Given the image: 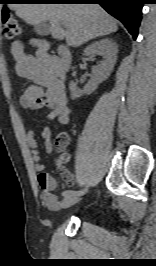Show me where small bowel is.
<instances>
[{"mask_svg":"<svg viewBox=\"0 0 156 266\" xmlns=\"http://www.w3.org/2000/svg\"><path fill=\"white\" fill-rule=\"evenodd\" d=\"M11 54L15 62L16 73L32 82V85L20 97L21 106L30 110L47 108L49 119L57 120L63 125L67 124L70 111L67 106L64 82L57 76L54 67L55 58L43 47L34 55L29 54L20 41L12 43ZM41 135L45 141L46 152L51 153L53 145L50 140V129L42 127ZM26 140L38 172L37 182L42 191V200L49 209L57 210L61 207V202L54 193L57 182L53 176L44 171L45 166L41 163L35 128L27 132ZM61 173L66 184L73 185L72 174L63 167H61Z\"/></svg>","mask_w":156,"mask_h":266,"instance_id":"obj_1","label":"small bowel"}]
</instances>
